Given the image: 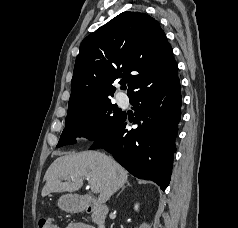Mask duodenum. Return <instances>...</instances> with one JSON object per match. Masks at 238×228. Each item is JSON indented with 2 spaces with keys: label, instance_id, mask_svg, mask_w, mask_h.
<instances>
[{
  "label": "duodenum",
  "instance_id": "duodenum-1",
  "mask_svg": "<svg viewBox=\"0 0 238 228\" xmlns=\"http://www.w3.org/2000/svg\"><path fill=\"white\" fill-rule=\"evenodd\" d=\"M73 207L77 210H83L87 213H90L96 226L98 228H104L105 218L108 213V208L106 205L91 197L80 196L73 203Z\"/></svg>",
  "mask_w": 238,
  "mask_h": 228
}]
</instances>
